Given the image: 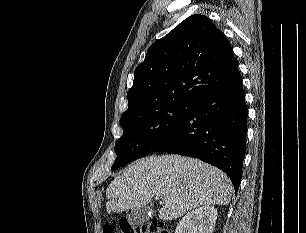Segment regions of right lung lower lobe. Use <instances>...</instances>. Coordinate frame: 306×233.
Segmentation results:
<instances>
[{
	"mask_svg": "<svg viewBox=\"0 0 306 233\" xmlns=\"http://www.w3.org/2000/svg\"><path fill=\"white\" fill-rule=\"evenodd\" d=\"M247 106L241 76L203 99L152 151L198 158L223 170L238 190L246 149Z\"/></svg>",
	"mask_w": 306,
	"mask_h": 233,
	"instance_id": "right-lung-lower-lobe-1",
	"label": "right lung lower lobe"
}]
</instances>
